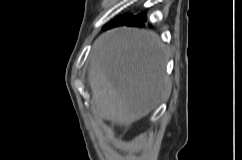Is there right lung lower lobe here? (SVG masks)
Segmentation results:
<instances>
[{"mask_svg": "<svg viewBox=\"0 0 242 160\" xmlns=\"http://www.w3.org/2000/svg\"><path fill=\"white\" fill-rule=\"evenodd\" d=\"M147 19V16L144 14L138 15V16H134V17H127L126 19H124L123 21L113 25L112 27L115 26H121V25H127V26H143V22H145ZM112 27H108L106 29L112 28Z\"/></svg>", "mask_w": 242, "mask_h": 160, "instance_id": "obj_1", "label": "right lung lower lobe"}]
</instances>
